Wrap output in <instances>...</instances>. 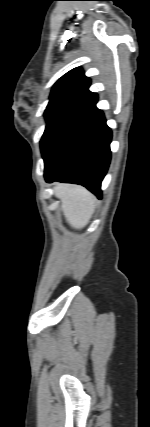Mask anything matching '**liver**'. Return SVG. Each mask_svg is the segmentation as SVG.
I'll return each mask as SVG.
<instances>
[{
	"mask_svg": "<svg viewBox=\"0 0 150 427\" xmlns=\"http://www.w3.org/2000/svg\"><path fill=\"white\" fill-rule=\"evenodd\" d=\"M54 194L61 200V210L67 223L75 229L84 228L95 210V198L81 186L58 184Z\"/></svg>",
	"mask_w": 150,
	"mask_h": 427,
	"instance_id": "obj_1",
	"label": "liver"
}]
</instances>
